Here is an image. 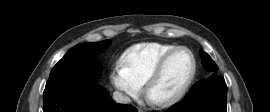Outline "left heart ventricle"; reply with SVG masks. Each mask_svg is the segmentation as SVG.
Returning a JSON list of instances; mask_svg holds the SVG:
<instances>
[{
  "mask_svg": "<svg viewBox=\"0 0 270 112\" xmlns=\"http://www.w3.org/2000/svg\"><path fill=\"white\" fill-rule=\"evenodd\" d=\"M191 70L192 59L189 53L186 51L176 53L168 62L163 74L152 86L151 100L161 101L178 92L187 81Z\"/></svg>",
  "mask_w": 270,
  "mask_h": 112,
  "instance_id": "obj_1",
  "label": "left heart ventricle"
}]
</instances>
